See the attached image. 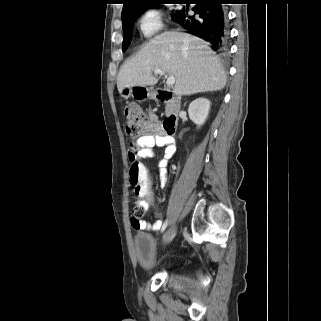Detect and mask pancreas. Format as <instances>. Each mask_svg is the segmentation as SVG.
I'll return each mask as SVG.
<instances>
[{
	"instance_id": "obj_1",
	"label": "pancreas",
	"mask_w": 321,
	"mask_h": 321,
	"mask_svg": "<svg viewBox=\"0 0 321 321\" xmlns=\"http://www.w3.org/2000/svg\"><path fill=\"white\" fill-rule=\"evenodd\" d=\"M171 112H172V108L169 105H167L166 111H165L166 115H169Z\"/></svg>"
}]
</instances>
